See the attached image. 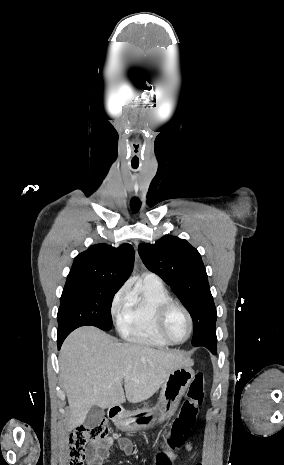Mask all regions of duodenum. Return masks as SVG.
Instances as JSON below:
<instances>
[{"label":"duodenum","instance_id":"1","mask_svg":"<svg viewBox=\"0 0 284 465\" xmlns=\"http://www.w3.org/2000/svg\"><path fill=\"white\" fill-rule=\"evenodd\" d=\"M125 411L122 410L119 406H113L108 411V416L114 420V422L119 425L121 423V419L125 415Z\"/></svg>","mask_w":284,"mask_h":465}]
</instances>
